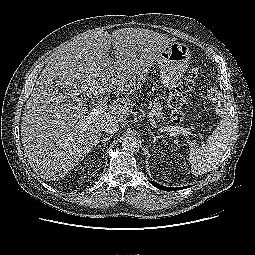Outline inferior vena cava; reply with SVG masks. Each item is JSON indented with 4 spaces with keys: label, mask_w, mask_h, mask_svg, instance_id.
<instances>
[{
    "label": "inferior vena cava",
    "mask_w": 255,
    "mask_h": 255,
    "mask_svg": "<svg viewBox=\"0 0 255 255\" xmlns=\"http://www.w3.org/2000/svg\"><path fill=\"white\" fill-rule=\"evenodd\" d=\"M118 130H119V124L116 121L110 120V121L106 122L104 125V131L107 134L117 133Z\"/></svg>",
    "instance_id": "inferior-vena-cava-1"
}]
</instances>
